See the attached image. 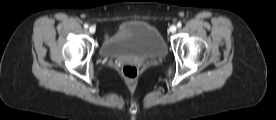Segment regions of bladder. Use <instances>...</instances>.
<instances>
[{"label": "bladder", "mask_w": 276, "mask_h": 120, "mask_svg": "<svg viewBox=\"0 0 276 120\" xmlns=\"http://www.w3.org/2000/svg\"><path fill=\"white\" fill-rule=\"evenodd\" d=\"M100 53L107 58L125 55L161 58L166 55L167 46L156 27L145 21L128 19L102 41Z\"/></svg>", "instance_id": "1"}]
</instances>
